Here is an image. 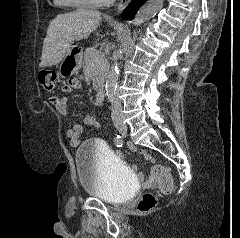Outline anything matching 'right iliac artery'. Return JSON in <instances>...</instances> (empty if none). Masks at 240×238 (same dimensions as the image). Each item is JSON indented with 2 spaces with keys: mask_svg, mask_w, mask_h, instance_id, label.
Instances as JSON below:
<instances>
[{
  "mask_svg": "<svg viewBox=\"0 0 240 238\" xmlns=\"http://www.w3.org/2000/svg\"><path fill=\"white\" fill-rule=\"evenodd\" d=\"M114 143L117 147H121L123 145V137L120 135H117L114 139Z\"/></svg>",
  "mask_w": 240,
  "mask_h": 238,
  "instance_id": "82829eb1",
  "label": "right iliac artery"
}]
</instances>
